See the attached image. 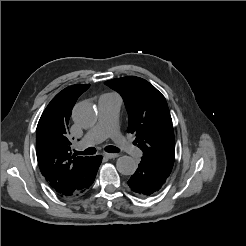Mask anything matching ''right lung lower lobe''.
I'll list each match as a JSON object with an SVG mask.
<instances>
[{"label": "right lung lower lobe", "instance_id": "obj_1", "mask_svg": "<svg viewBox=\"0 0 246 246\" xmlns=\"http://www.w3.org/2000/svg\"><path fill=\"white\" fill-rule=\"evenodd\" d=\"M102 156L97 155L96 157H91L90 167L86 174L83 176L81 180L75 185L72 195L67 198H73L83 194L94 182L96 177L98 168L101 164Z\"/></svg>", "mask_w": 246, "mask_h": 246}]
</instances>
